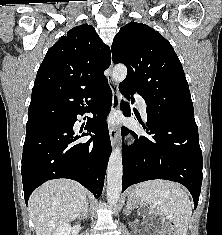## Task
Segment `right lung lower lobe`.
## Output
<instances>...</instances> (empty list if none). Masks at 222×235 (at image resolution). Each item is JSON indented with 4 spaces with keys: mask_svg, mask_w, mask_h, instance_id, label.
Instances as JSON below:
<instances>
[{
    "mask_svg": "<svg viewBox=\"0 0 222 235\" xmlns=\"http://www.w3.org/2000/svg\"><path fill=\"white\" fill-rule=\"evenodd\" d=\"M111 104L112 91L106 78L92 88L56 101L50 118L54 123L26 133L21 167L26 204L35 188L57 178L75 180L96 198L101 195L111 154L105 123ZM85 112L94 116L77 132V115ZM83 129L88 133L82 132ZM91 132L95 133L93 137L79 141Z\"/></svg>",
    "mask_w": 222,
    "mask_h": 235,
    "instance_id": "obj_1",
    "label": "right lung lower lobe"
}]
</instances>
